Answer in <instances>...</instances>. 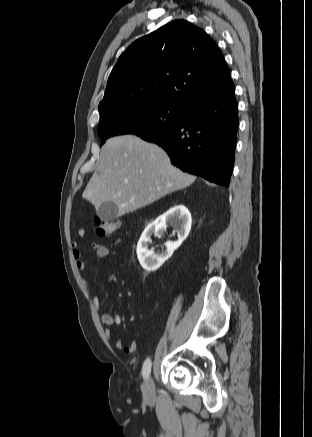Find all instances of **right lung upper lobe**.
Listing matches in <instances>:
<instances>
[{
    "instance_id": "cb5924a9",
    "label": "right lung upper lobe",
    "mask_w": 312,
    "mask_h": 437,
    "mask_svg": "<svg viewBox=\"0 0 312 437\" xmlns=\"http://www.w3.org/2000/svg\"><path fill=\"white\" fill-rule=\"evenodd\" d=\"M230 80L215 42L202 29L175 20L136 40L120 56L99 104L100 117L133 103L186 108Z\"/></svg>"
}]
</instances>
